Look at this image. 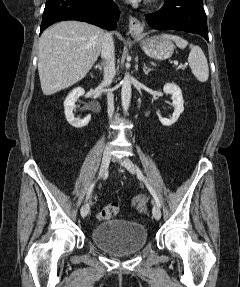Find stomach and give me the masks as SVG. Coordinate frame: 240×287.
Segmentation results:
<instances>
[{"mask_svg": "<svg viewBox=\"0 0 240 287\" xmlns=\"http://www.w3.org/2000/svg\"><path fill=\"white\" fill-rule=\"evenodd\" d=\"M140 41V45L144 53L150 58L157 60H165L172 56L174 44L164 37L154 36L143 39L140 35H135Z\"/></svg>", "mask_w": 240, "mask_h": 287, "instance_id": "stomach-1", "label": "stomach"}]
</instances>
